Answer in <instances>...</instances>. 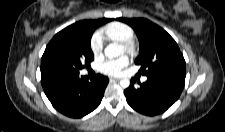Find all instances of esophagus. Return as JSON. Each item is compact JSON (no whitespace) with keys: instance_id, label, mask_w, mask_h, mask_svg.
Masks as SVG:
<instances>
[{"instance_id":"obj_1","label":"esophagus","mask_w":225,"mask_h":132,"mask_svg":"<svg viewBox=\"0 0 225 132\" xmlns=\"http://www.w3.org/2000/svg\"><path fill=\"white\" fill-rule=\"evenodd\" d=\"M119 80H120V78H113V77L110 78L111 82H115V81H119Z\"/></svg>"}]
</instances>
